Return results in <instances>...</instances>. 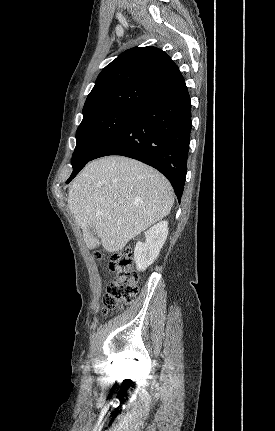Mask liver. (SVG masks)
<instances>
[{"mask_svg": "<svg viewBox=\"0 0 275 431\" xmlns=\"http://www.w3.org/2000/svg\"><path fill=\"white\" fill-rule=\"evenodd\" d=\"M67 201L86 246L92 250L102 245L112 253L166 217L174 196L170 182L157 170L134 159L108 156L84 167Z\"/></svg>", "mask_w": 275, "mask_h": 431, "instance_id": "1", "label": "liver"}]
</instances>
